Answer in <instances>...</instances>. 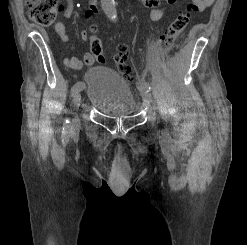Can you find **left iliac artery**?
<instances>
[{"instance_id":"1","label":"left iliac artery","mask_w":247,"mask_h":245,"mask_svg":"<svg viewBox=\"0 0 247 245\" xmlns=\"http://www.w3.org/2000/svg\"><path fill=\"white\" fill-rule=\"evenodd\" d=\"M141 86H144L148 92L151 90L149 83H147L146 81H142Z\"/></svg>"}]
</instances>
